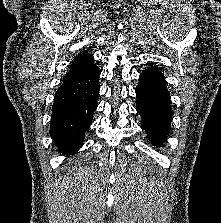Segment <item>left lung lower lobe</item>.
<instances>
[{
	"mask_svg": "<svg viewBox=\"0 0 221 223\" xmlns=\"http://www.w3.org/2000/svg\"><path fill=\"white\" fill-rule=\"evenodd\" d=\"M136 97V109L142 117L141 128L152 139L153 145L161 146L170 132L173 115L170 94L161 71L149 67L141 73Z\"/></svg>",
	"mask_w": 221,
	"mask_h": 223,
	"instance_id": "obj_1",
	"label": "left lung lower lobe"
}]
</instances>
